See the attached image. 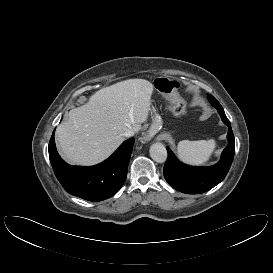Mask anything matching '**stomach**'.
Here are the masks:
<instances>
[{
    "instance_id": "1",
    "label": "stomach",
    "mask_w": 273,
    "mask_h": 273,
    "mask_svg": "<svg viewBox=\"0 0 273 273\" xmlns=\"http://www.w3.org/2000/svg\"><path fill=\"white\" fill-rule=\"evenodd\" d=\"M154 85L157 92L160 93L165 98H170L177 93V88L174 85V81L167 77L155 78ZM161 127H162V118L156 112V110L153 109L151 129L158 131L161 129Z\"/></svg>"
}]
</instances>
